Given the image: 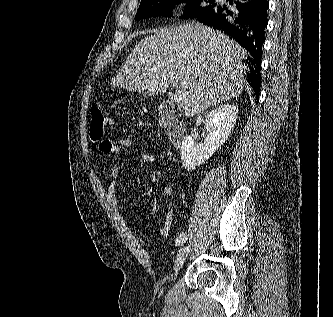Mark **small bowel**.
Segmentation results:
<instances>
[{"mask_svg": "<svg viewBox=\"0 0 333 317\" xmlns=\"http://www.w3.org/2000/svg\"><path fill=\"white\" fill-rule=\"evenodd\" d=\"M130 145L129 140H119V141H110V140H101L99 142V151L102 153L117 152L123 148H126ZM132 161L142 162L146 164H151L155 161V156L151 153L138 151L132 157ZM121 168L119 164H114L110 168L111 181L108 187V197L109 199L116 204L117 202V186L118 179L120 176ZM163 195L168 202V208L165 213L164 221L160 229V235L162 237H167L169 235L172 218H173V199H174V190L171 186H165L163 188ZM158 205L156 204L153 211L156 212Z\"/></svg>", "mask_w": 333, "mask_h": 317, "instance_id": "small-bowel-1", "label": "small bowel"}]
</instances>
